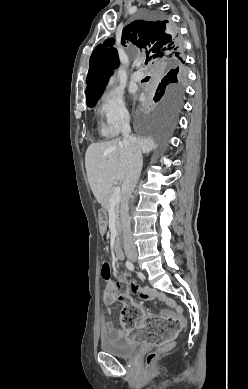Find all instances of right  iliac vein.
<instances>
[{
	"mask_svg": "<svg viewBox=\"0 0 248 389\" xmlns=\"http://www.w3.org/2000/svg\"><path fill=\"white\" fill-rule=\"evenodd\" d=\"M129 259L131 260V261H136L137 260V256L134 254V255H130L129 256Z\"/></svg>",
	"mask_w": 248,
	"mask_h": 389,
	"instance_id": "63e3f726",
	"label": "right iliac vein"
}]
</instances>
